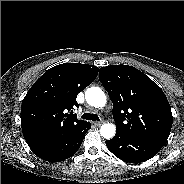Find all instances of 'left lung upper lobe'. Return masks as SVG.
Masks as SVG:
<instances>
[{"label":"left lung upper lobe","mask_w":184,"mask_h":184,"mask_svg":"<svg viewBox=\"0 0 184 184\" xmlns=\"http://www.w3.org/2000/svg\"><path fill=\"white\" fill-rule=\"evenodd\" d=\"M99 80L113 103L116 130L159 151L168 139L173 121L162 89L140 70L122 64L101 67Z\"/></svg>","instance_id":"5c2ea615"}]
</instances>
